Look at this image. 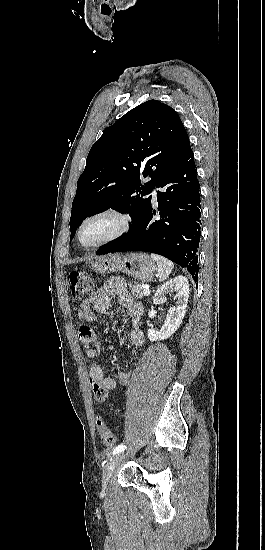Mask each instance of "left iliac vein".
Wrapping results in <instances>:
<instances>
[{"instance_id": "obj_1", "label": "left iliac vein", "mask_w": 265, "mask_h": 550, "mask_svg": "<svg viewBox=\"0 0 265 550\" xmlns=\"http://www.w3.org/2000/svg\"><path fill=\"white\" fill-rule=\"evenodd\" d=\"M126 456L127 454L122 452V453H117L111 459V461L108 463V465L103 471L102 478H103L104 484H107L109 482L113 471L121 464V462L126 458Z\"/></svg>"}]
</instances>
